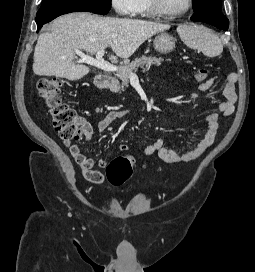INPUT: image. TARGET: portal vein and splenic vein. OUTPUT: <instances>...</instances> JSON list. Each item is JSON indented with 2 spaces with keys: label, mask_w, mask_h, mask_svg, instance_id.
I'll return each instance as SVG.
<instances>
[{
  "label": "portal vein and splenic vein",
  "mask_w": 255,
  "mask_h": 272,
  "mask_svg": "<svg viewBox=\"0 0 255 272\" xmlns=\"http://www.w3.org/2000/svg\"><path fill=\"white\" fill-rule=\"evenodd\" d=\"M75 52L77 53V55L80 56L81 62L93 65L95 67H98V68L108 71V72L118 71V69H119L116 65L111 64L103 59V55L105 53L104 49H100L96 53V58H93L90 55H86L85 53H83L79 49H76ZM130 75H135V74L131 73Z\"/></svg>",
  "instance_id": "1"
}]
</instances>
